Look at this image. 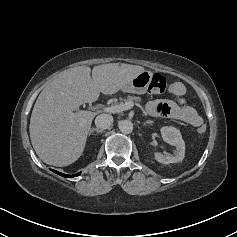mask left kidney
I'll return each instance as SVG.
<instances>
[{"label": "left kidney", "instance_id": "obj_1", "mask_svg": "<svg viewBox=\"0 0 237 237\" xmlns=\"http://www.w3.org/2000/svg\"><path fill=\"white\" fill-rule=\"evenodd\" d=\"M163 140L176 146V153L174 156L163 155L161 153H154L155 159L162 164L179 163L184 159L185 142L182 139L181 133L178 129L172 126H165L160 129Z\"/></svg>", "mask_w": 237, "mask_h": 237}]
</instances>
